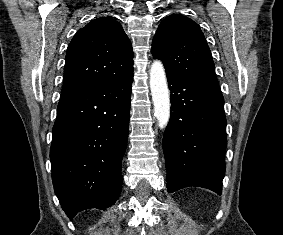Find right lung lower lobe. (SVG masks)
I'll list each match as a JSON object with an SVG mask.
<instances>
[{"label":"right lung lower lobe","mask_w":283,"mask_h":235,"mask_svg":"<svg viewBox=\"0 0 283 235\" xmlns=\"http://www.w3.org/2000/svg\"><path fill=\"white\" fill-rule=\"evenodd\" d=\"M132 81L133 73L60 98L50 159L55 194L70 219L119 198Z\"/></svg>","instance_id":"1"}]
</instances>
